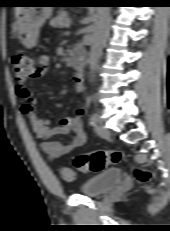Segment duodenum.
Instances as JSON below:
<instances>
[{"label": "duodenum", "mask_w": 170, "mask_h": 231, "mask_svg": "<svg viewBox=\"0 0 170 231\" xmlns=\"http://www.w3.org/2000/svg\"><path fill=\"white\" fill-rule=\"evenodd\" d=\"M68 63L74 67L80 75L84 74V57L81 51H73L70 53Z\"/></svg>", "instance_id": "410a0bca"}]
</instances>
